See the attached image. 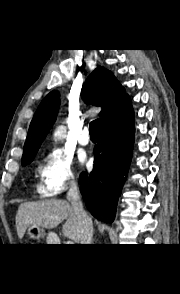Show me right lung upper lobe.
<instances>
[{"instance_id": "obj_1", "label": "right lung upper lobe", "mask_w": 180, "mask_h": 294, "mask_svg": "<svg viewBox=\"0 0 180 294\" xmlns=\"http://www.w3.org/2000/svg\"><path fill=\"white\" fill-rule=\"evenodd\" d=\"M82 98L88 104L101 106V121L130 98L115 76L103 67L96 68L82 88ZM60 105L58 91L50 92L39 105L29 127L22 160L34 157L56 120Z\"/></svg>"}]
</instances>
